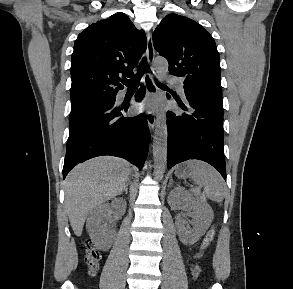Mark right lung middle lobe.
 I'll return each mask as SVG.
<instances>
[{"mask_svg":"<svg viewBox=\"0 0 293 289\" xmlns=\"http://www.w3.org/2000/svg\"><path fill=\"white\" fill-rule=\"evenodd\" d=\"M116 96L101 97V98H91L83 101H78L71 103V112L69 119L84 114L91 111L99 106L113 100Z\"/></svg>","mask_w":293,"mask_h":289,"instance_id":"dd1d6c3e","label":"right lung middle lobe"}]
</instances>
